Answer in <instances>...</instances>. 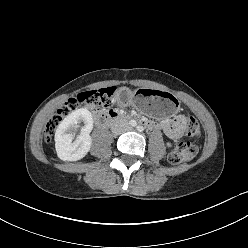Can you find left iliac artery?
<instances>
[{
    "label": "left iliac artery",
    "mask_w": 248,
    "mask_h": 248,
    "mask_svg": "<svg viewBox=\"0 0 248 248\" xmlns=\"http://www.w3.org/2000/svg\"><path fill=\"white\" fill-rule=\"evenodd\" d=\"M137 130H138V131H143V127L138 126V127H137Z\"/></svg>",
    "instance_id": "left-iliac-artery-1"
}]
</instances>
